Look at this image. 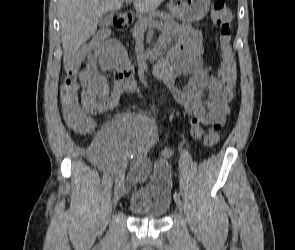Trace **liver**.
Masks as SVG:
<instances>
[{
  "label": "liver",
  "mask_w": 295,
  "mask_h": 250,
  "mask_svg": "<svg viewBox=\"0 0 295 250\" xmlns=\"http://www.w3.org/2000/svg\"><path fill=\"white\" fill-rule=\"evenodd\" d=\"M164 0H134L140 13L154 12ZM124 0H59L61 42L66 61L97 30L99 19L122 8Z\"/></svg>",
  "instance_id": "obj_1"
}]
</instances>
